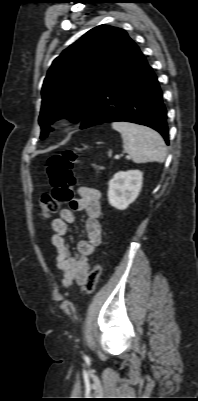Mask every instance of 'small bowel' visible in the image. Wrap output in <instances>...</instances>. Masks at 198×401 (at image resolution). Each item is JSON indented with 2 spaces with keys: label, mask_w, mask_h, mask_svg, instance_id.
<instances>
[{
  "label": "small bowel",
  "mask_w": 198,
  "mask_h": 401,
  "mask_svg": "<svg viewBox=\"0 0 198 401\" xmlns=\"http://www.w3.org/2000/svg\"><path fill=\"white\" fill-rule=\"evenodd\" d=\"M79 197L73 200L68 208L60 211L59 217L52 221L53 234L51 242L56 249L57 268L62 272L64 287H70L74 282L80 286L86 284L89 275V257L92 256L101 244L102 227L99 221L101 216V194L97 189L80 187ZM82 212L87 216L85 229L87 240L77 244V254L72 255L68 244V227L75 221V213Z\"/></svg>",
  "instance_id": "small-bowel-1"
}]
</instances>
